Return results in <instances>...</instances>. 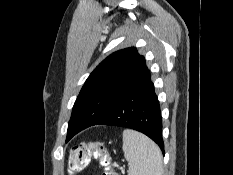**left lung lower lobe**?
Here are the masks:
<instances>
[{
	"instance_id": "1",
	"label": "left lung lower lobe",
	"mask_w": 233,
	"mask_h": 175,
	"mask_svg": "<svg viewBox=\"0 0 233 175\" xmlns=\"http://www.w3.org/2000/svg\"><path fill=\"white\" fill-rule=\"evenodd\" d=\"M92 125H113L140 131L156 142L164 154L160 105L150 71L141 75Z\"/></svg>"
}]
</instances>
